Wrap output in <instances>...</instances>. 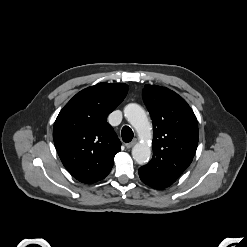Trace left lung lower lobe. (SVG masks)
<instances>
[{
  "mask_svg": "<svg viewBox=\"0 0 247 247\" xmlns=\"http://www.w3.org/2000/svg\"><path fill=\"white\" fill-rule=\"evenodd\" d=\"M139 176H140L141 180L145 184L149 185L152 188H155V189H163V188H166L167 187L164 184H162L161 182H159V181H157V180H155V179H153V178L145 175L144 173H142L140 171H139Z\"/></svg>",
  "mask_w": 247,
  "mask_h": 247,
  "instance_id": "obj_1",
  "label": "left lung lower lobe"
}]
</instances>
